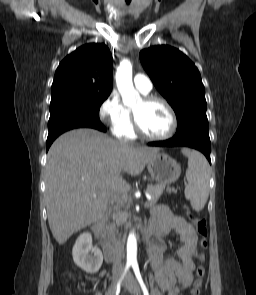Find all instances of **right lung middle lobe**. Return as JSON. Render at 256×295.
I'll return each mask as SVG.
<instances>
[{
  "instance_id": "dd1d6c3e",
  "label": "right lung middle lobe",
  "mask_w": 256,
  "mask_h": 295,
  "mask_svg": "<svg viewBox=\"0 0 256 295\" xmlns=\"http://www.w3.org/2000/svg\"><path fill=\"white\" fill-rule=\"evenodd\" d=\"M107 97L64 98L50 104L48 125L57 121L99 118L101 104Z\"/></svg>"
}]
</instances>
